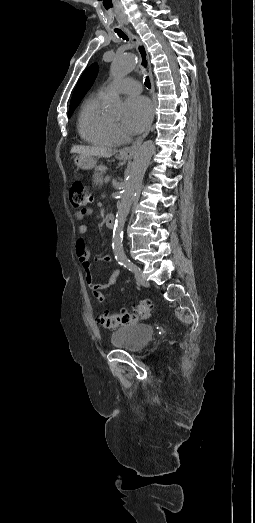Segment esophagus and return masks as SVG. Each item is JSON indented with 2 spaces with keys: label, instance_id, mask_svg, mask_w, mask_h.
I'll list each match as a JSON object with an SVG mask.
<instances>
[{
  "label": "esophagus",
  "instance_id": "1",
  "mask_svg": "<svg viewBox=\"0 0 255 523\" xmlns=\"http://www.w3.org/2000/svg\"><path fill=\"white\" fill-rule=\"evenodd\" d=\"M125 30L128 33V35L130 36L131 41L133 43H135V45H136V49H137V52L140 57V68H141V70L146 71L148 73L150 83H151V92L154 93L155 87H154V79H153V75H152V67H151V63H150V59H149V55L146 50V47L137 35H134L128 28H125ZM154 115H155V107L153 106L152 120H153ZM150 128L151 127L149 126V128H147V130L139 138H137V140H135V142L132 145H130L129 147L122 148L120 153L122 155H124L125 157L132 158L135 155L136 151L138 150V148L141 145L144 138L147 137L148 133L150 132Z\"/></svg>",
  "mask_w": 255,
  "mask_h": 523
}]
</instances>
